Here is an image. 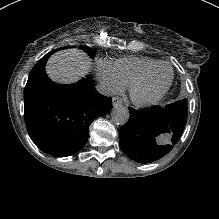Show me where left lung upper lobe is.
I'll return each mask as SVG.
<instances>
[{
    "label": "left lung upper lobe",
    "instance_id": "obj_1",
    "mask_svg": "<svg viewBox=\"0 0 219 219\" xmlns=\"http://www.w3.org/2000/svg\"><path fill=\"white\" fill-rule=\"evenodd\" d=\"M165 108L173 110V111L177 112L178 114L183 115L185 117H187V115H188V107H187V100L186 99L174 102L172 104H168V105H166Z\"/></svg>",
    "mask_w": 219,
    "mask_h": 219
}]
</instances>
